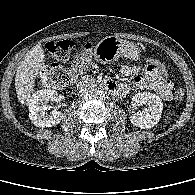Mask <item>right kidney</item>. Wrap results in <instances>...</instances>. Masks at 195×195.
I'll return each mask as SVG.
<instances>
[{
    "label": "right kidney",
    "instance_id": "1",
    "mask_svg": "<svg viewBox=\"0 0 195 195\" xmlns=\"http://www.w3.org/2000/svg\"><path fill=\"white\" fill-rule=\"evenodd\" d=\"M59 96L55 90L42 89L35 92L29 103V118L37 127H52L60 123L63 118L62 112L55 109L50 114L46 111L50 110L49 101H58Z\"/></svg>",
    "mask_w": 195,
    "mask_h": 195
}]
</instances>
